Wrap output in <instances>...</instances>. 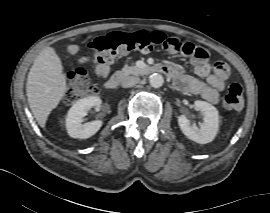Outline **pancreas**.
Returning a JSON list of instances; mask_svg holds the SVG:
<instances>
[{"mask_svg":"<svg viewBox=\"0 0 270 213\" xmlns=\"http://www.w3.org/2000/svg\"><path fill=\"white\" fill-rule=\"evenodd\" d=\"M141 69L136 67V66H129L125 65L119 72L118 74L120 76H128V75H139L141 73Z\"/></svg>","mask_w":270,"mask_h":213,"instance_id":"pancreas-1","label":"pancreas"}]
</instances>
